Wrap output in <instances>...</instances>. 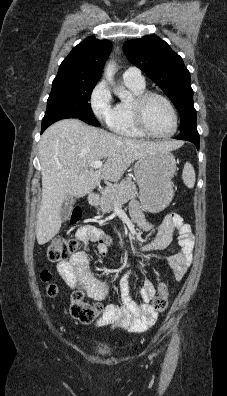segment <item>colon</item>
<instances>
[{
    "mask_svg": "<svg viewBox=\"0 0 227 396\" xmlns=\"http://www.w3.org/2000/svg\"><path fill=\"white\" fill-rule=\"evenodd\" d=\"M81 217V211L75 209L71 216L72 223H76ZM81 247L80 242L73 238H66L57 236L53 238L47 248V257L50 261L60 262L67 260L71 255L75 254ZM41 278L47 283V291L49 295H55L57 286L51 282V274L48 271H43ZM168 306V292L167 286L164 283H159L158 293L152 301V307L156 312H163ZM104 307L101 303L89 304L84 301V295L80 289H76L71 294V315L82 323H91L97 317L101 316Z\"/></svg>",
    "mask_w": 227,
    "mask_h": 396,
    "instance_id": "1",
    "label": "colon"
}]
</instances>
